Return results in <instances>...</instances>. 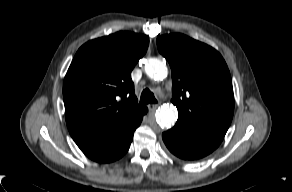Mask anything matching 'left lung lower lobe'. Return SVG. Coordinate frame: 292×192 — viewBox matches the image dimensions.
Returning a JSON list of instances; mask_svg holds the SVG:
<instances>
[{"instance_id":"obj_1","label":"left lung lower lobe","mask_w":292,"mask_h":192,"mask_svg":"<svg viewBox=\"0 0 292 192\" xmlns=\"http://www.w3.org/2000/svg\"><path fill=\"white\" fill-rule=\"evenodd\" d=\"M163 141L169 151L183 160H197L214 151L223 138L178 127L164 132Z\"/></svg>"}]
</instances>
